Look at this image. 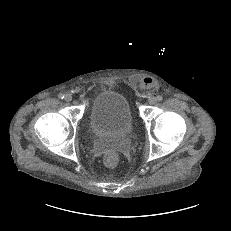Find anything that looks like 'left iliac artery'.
Segmentation results:
<instances>
[{"label": "left iliac artery", "instance_id": "obj_1", "mask_svg": "<svg viewBox=\"0 0 231 231\" xmlns=\"http://www.w3.org/2000/svg\"><path fill=\"white\" fill-rule=\"evenodd\" d=\"M156 99H157L158 102H161L163 100V97L159 95V96H157Z\"/></svg>", "mask_w": 231, "mask_h": 231}]
</instances>
